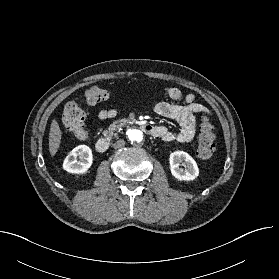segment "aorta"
<instances>
[{"label": "aorta", "instance_id": "1", "mask_svg": "<svg viewBox=\"0 0 279 279\" xmlns=\"http://www.w3.org/2000/svg\"><path fill=\"white\" fill-rule=\"evenodd\" d=\"M128 138L131 142L140 143L143 140V134L140 130L131 128L127 131Z\"/></svg>", "mask_w": 279, "mask_h": 279}]
</instances>
